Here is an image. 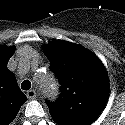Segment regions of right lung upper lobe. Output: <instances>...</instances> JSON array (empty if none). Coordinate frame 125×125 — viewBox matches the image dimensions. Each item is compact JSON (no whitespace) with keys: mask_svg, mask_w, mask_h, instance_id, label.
I'll list each match as a JSON object with an SVG mask.
<instances>
[{"mask_svg":"<svg viewBox=\"0 0 125 125\" xmlns=\"http://www.w3.org/2000/svg\"><path fill=\"white\" fill-rule=\"evenodd\" d=\"M15 47L0 45V125H9L27 97L20 90L15 76L7 68Z\"/></svg>","mask_w":125,"mask_h":125,"instance_id":"right-lung-upper-lobe-1","label":"right lung upper lobe"}]
</instances>
